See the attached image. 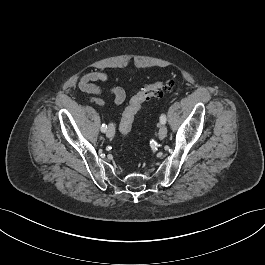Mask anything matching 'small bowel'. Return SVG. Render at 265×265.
Listing matches in <instances>:
<instances>
[{
  "label": "small bowel",
  "instance_id": "obj_1",
  "mask_svg": "<svg viewBox=\"0 0 265 265\" xmlns=\"http://www.w3.org/2000/svg\"><path fill=\"white\" fill-rule=\"evenodd\" d=\"M110 77L103 71H90L85 73L78 82V87L87 93L92 103L98 106H104L105 102L102 98V89L96 84L97 82H107ZM108 94L114 98V103L119 106L126 99V92L122 87H113Z\"/></svg>",
  "mask_w": 265,
  "mask_h": 265
}]
</instances>
